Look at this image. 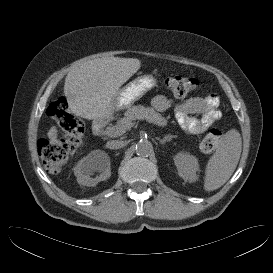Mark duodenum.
<instances>
[{
    "mask_svg": "<svg viewBox=\"0 0 273 273\" xmlns=\"http://www.w3.org/2000/svg\"><path fill=\"white\" fill-rule=\"evenodd\" d=\"M103 129V121L101 120H96L93 125V132L96 135H99L102 132Z\"/></svg>",
    "mask_w": 273,
    "mask_h": 273,
    "instance_id": "1",
    "label": "duodenum"
}]
</instances>
